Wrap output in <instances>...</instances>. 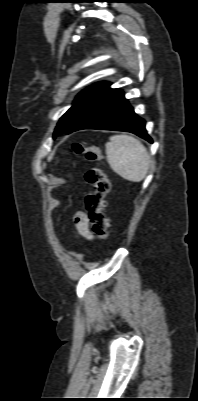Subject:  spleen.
Masks as SVG:
<instances>
[{
	"mask_svg": "<svg viewBox=\"0 0 198 401\" xmlns=\"http://www.w3.org/2000/svg\"><path fill=\"white\" fill-rule=\"evenodd\" d=\"M106 158L110 168L123 179L142 181L150 166V156L145 146L129 135H114L106 143Z\"/></svg>",
	"mask_w": 198,
	"mask_h": 401,
	"instance_id": "3e777b00",
	"label": "spleen"
}]
</instances>
